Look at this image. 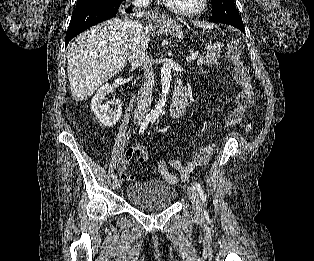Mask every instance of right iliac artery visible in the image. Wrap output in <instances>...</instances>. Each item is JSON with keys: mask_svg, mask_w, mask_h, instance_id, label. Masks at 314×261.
Segmentation results:
<instances>
[{"mask_svg": "<svg viewBox=\"0 0 314 261\" xmlns=\"http://www.w3.org/2000/svg\"><path fill=\"white\" fill-rule=\"evenodd\" d=\"M152 119L151 118H146L143 122H142V124H141V126H140V129H139V133H143L144 132V130L146 129V127H147V125H148V123L151 121ZM112 178L114 179V180H116L117 179V175L116 174H113L112 175Z\"/></svg>", "mask_w": 314, "mask_h": 261, "instance_id": "obj_1", "label": "right iliac artery"}]
</instances>
